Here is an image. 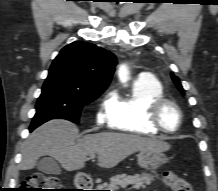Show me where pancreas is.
<instances>
[{
	"label": "pancreas",
	"mask_w": 218,
	"mask_h": 191,
	"mask_svg": "<svg viewBox=\"0 0 218 191\" xmlns=\"http://www.w3.org/2000/svg\"><path fill=\"white\" fill-rule=\"evenodd\" d=\"M153 177L150 174L134 175L127 176L126 174L116 175L111 178L109 184H105L103 187H108L111 190L126 189L128 186L129 189H139L146 188L147 185H150ZM99 189H102L100 187Z\"/></svg>",
	"instance_id": "obj_1"
}]
</instances>
